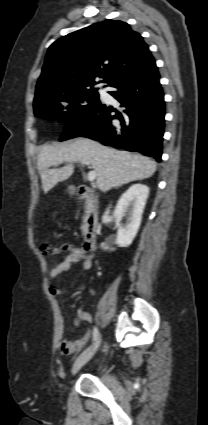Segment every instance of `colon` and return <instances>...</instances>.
<instances>
[{
	"instance_id": "colon-1",
	"label": "colon",
	"mask_w": 208,
	"mask_h": 425,
	"mask_svg": "<svg viewBox=\"0 0 208 425\" xmlns=\"http://www.w3.org/2000/svg\"><path fill=\"white\" fill-rule=\"evenodd\" d=\"M40 249L46 257H53L59 253V249L49 243H43L40 246Z\"/></svg>"
}]
</instances>
